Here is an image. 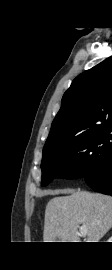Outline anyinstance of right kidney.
<instances>
[{"label":"right kidney","mask_w":112,"mask_h":270,"mask_svg":"<svg viewBox=\"0 0 112 270\" xmlns=\"http://www.w3.org/2000/svg\"><path fill=\"white\" fill-rule=\"evenodd\" d=\"M108 242H112V237L109 238Z\"/></svg>","instance_id":"right-kidney-1"}]
</instances>
